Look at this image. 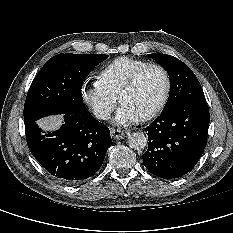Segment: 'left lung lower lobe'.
<instances>
[{
  "instance_id": "1",
  "label": "left lung lower lobe",
  "mask_w": 233,
  "mask_h": 233,
  "mask_svg": "<svg viewBox=\"0 0 233 233\" xmlns=\"http://www.w3.org/2000/svg\"><path fill=\"white\" fill-rule=\"evenodd\" d=\"M206 103H184L162 111L147 128L149 145L144 166L161 178H178L200 159L209 127Z\"/></svg>"
}]
</instances>
